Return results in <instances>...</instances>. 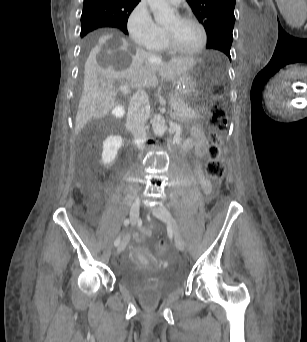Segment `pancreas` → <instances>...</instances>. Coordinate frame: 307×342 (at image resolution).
<instances>
[{
	"mask_svg": "<svg viewBox=\"0 0 307 342\" xmlns=\"http://www.w3.org/2000/svg\"><path fill=\"white\" fill-rule=\"evenodd\" d=\"M170 99L173 104H180L183 103L185 100L180 98L178 94H171ZM204 108L201 107L200 109L197 106H182L178 112H175L173 116L180 117H203L204 116Z\"/></svg>",
	"mask_w": 307,
	"mask_h": 342,
	"instance_id": "cf45deb5",
	"label": "pancreas"
}]
</instances>
